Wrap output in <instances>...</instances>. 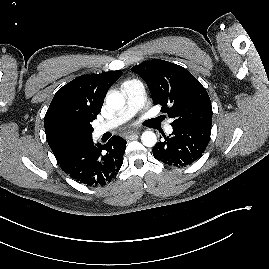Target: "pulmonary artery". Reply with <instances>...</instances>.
Segmentation results:
<instances>
[{
    "instance_id": "obj_1",
    "label": "pulmonary artery",
    "mask_w": 269,
    "mask_h": 269,
    "mask_svg": "<svg viewBox=\"0 0 269 269\" xmlns=\"http://www.w3.org/2000/svg\"><path fill=\"white\" fill-rule=\"evenodd\" d=\"M121 91L126 97L125 107L110 120L99 124L94 132L96 136H100L126 122L145 105V89L140 81L130 80L124 82L121 86ZM165 130L167 133L173 131L169 123L165 126Z\"/></svg>"
}]
</instances>
